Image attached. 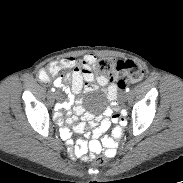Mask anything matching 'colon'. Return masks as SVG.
I'll list each match as a JSON object with an SVG mask.
<instances>
[{
	"mask_svg": "<svg viewBox=\"0 0 183 183\" xmlns=\"http://www.w3.org/2000/svg\"><path fill=\"white\" fill-rule=\"evenodd\" d=\"M96 68L105 78L114 81L118 89L124 88L128 83H135L144 75L143 67L132 60H117L114 58H100ZM55 76V70L44 69L39 73L43 82L50 81ZM116 97V96H115ZM88 159L96 165L105 164L103 157L89 155Z\"/></svg>",
	"mask_w": 183,
	"mask_h": 183,
	"instance_id": "1",
	"label": "colon"
}]
</instances>
